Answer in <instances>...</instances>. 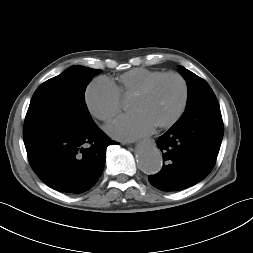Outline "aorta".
I'll use <instances>...</instances> for the list:
<instances>
[{"instance_id": "obj_1", "label": "aorta", "mask_w": 253, "mask_h": 253, "mask_svg": "<svg viewBox=\"0 0 253 253\" xmlns=\"http://www.w3.org/2000/svg\"><path fill=\"white\" fill-rule=\"evenodd\" d=\"M136 161L141 171L151 175L160 172L163 164L161 152L153 141H146L137 147Z\"/></svg>"}]
</instances>
